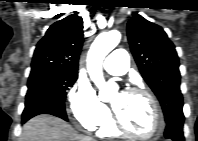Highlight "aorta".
I'll list each match as a JSON object with an SVG mask.
<instances>
[{
    "instance_id": "obj_1",
    "label": "aorta",
    "mask_w": 198,
    "mask_h": 141,
    "mask_svg": "<svg viewBox=\"0 0 198 141\" xmlns=\"http://www.w3.org/2000/svg\"><path fill=\"white\" fill-rule=\"evenodd\" d=\"M121 33L117 30L99 34L93 41L87 55V67L91 80L99 89V99L109 101L117 91L114 82H106L102 63L105 57L119 44Z\"/></svg>"
}]
</instances>
